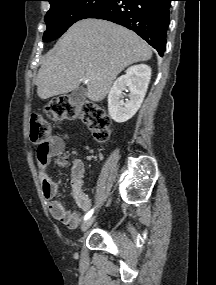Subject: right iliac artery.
I'll return each mask as SVG.
<instances>
[{
  "label": "right iliac artery",
  "mask_w": 216,
  "mask_h": 285,
  "mask_svg": "<svg viewBox=\"0 0 216 285\" xmlns=\"http://www.w3.org/2000/svg\"><path fill=\"white\" fill-rule=\"evenodd\" d=\"M93 212H94V209H91L89 212H87L86 215L84 216V220L89 219L92 216Z\"/></svg>",
  "instance_id": "right-iliac-artery-1"
}]
</instances>
